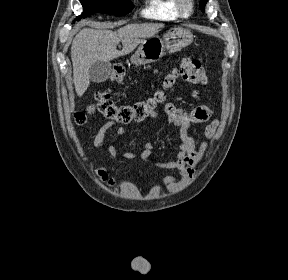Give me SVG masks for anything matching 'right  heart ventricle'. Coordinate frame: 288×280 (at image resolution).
Returning <instances> with one entry per match:
<instances>
[{
	"label": "right heart ventricle",
	"mask_w": 288,
	"mask_h": 280,
	"mask_svg": "<svg viewBox=\"0 0 288 280\" xmlns=\"http://www.w3.org/2000/svg\"><path fill=\"white\" fill-rule=\"evenodd\" d=\"M141 14L145 18L172 21L180 17L175 0H147Z\"/></svg>",
	"instance_id": "obj_1"
}]
</instances>
